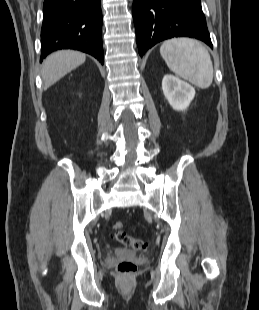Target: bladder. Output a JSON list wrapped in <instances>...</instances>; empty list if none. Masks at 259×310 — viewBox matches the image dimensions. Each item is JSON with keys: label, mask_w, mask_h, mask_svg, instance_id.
<instances>
[{"label": "bladder", "mask_w": 259, "mask_h": 310, "mask_svg": "<svg viewBox=\"0 0 259 310\" xmlns=\"http://www.w3.org/2000/svg\"><path fill=\"white\" fill-rule=\"evenodd\" d=\"M115 253L123 258H132L136 253L132 251L116 250Z\"/></svg>", "instance_id": "obj_1"}]
</instances>
